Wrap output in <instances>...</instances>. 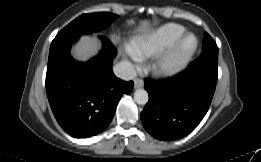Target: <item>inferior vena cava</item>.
Masks as SVG:
<instances>
[{
  "instance_id": "1",
  "label": "inferior vena cava",
  "mask_w": 261,
  "mask_h": 162,
  "mask_svg": "<svg viewBox=\"0 0 261 162\" xmlns=\"http://www.w3.org/2000/svg\"><path fill=\"white\" fill-rule=\"evenodd\" d=\"M114 74L122 80H132L136 77L137 73L133 65L129 62L122 61L113 67Z\"/></svg>"
}]
</instances>
